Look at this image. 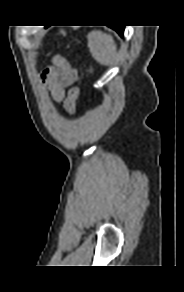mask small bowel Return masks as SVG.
<instances>
[{
	"instance_id": "obj_1",
	"label": "small bowel",
	"mask_w": 184,
	"mask_h": 292,
	"mask_svg": "<svg viewBox=\"0 0 184 292\" xmlns=\"http://www.w3.org/2000/svg\"><path fill=\"white\" fill-rule=\"evenodd\" d=\"M42 77L54 100L61 101L64 97V88L77 80L78 71L63 56L55 55L53 65L44 70Z\"/></svg>"
}]
</instances>
